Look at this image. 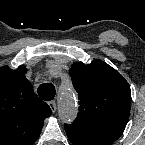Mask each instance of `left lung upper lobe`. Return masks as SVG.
Listing matches in <instances>:
<instances>
[{
    "label": "left lung upper lobe",
    "mask_w": 145,
    "mask_h": 145,
    "mask_svg": "<svg viewBox=\"0 0 145 145\" xmlns=\"http://www.w3.org/2000/svg\"><path fill=\"white\" fill-rule=\"evenodd\" d=\"M69 72L80 100L74 123L126 126L131 90L119 72L98 59L73 63Z\"/></svg>",
    "instance_id": "1"
}]
</instances>
